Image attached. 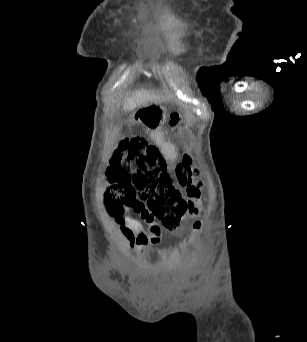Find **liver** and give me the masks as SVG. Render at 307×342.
I'll return each instance as SVG.
<instances>
[{"label":"liver","instance_id":"6515ba94","mask_svg":"<svg viewBox=\"0 0 307 342\" xmlns=\"http://www.w3.org/2000/svg\"><path fill=\"white\" fill-rule=\"evenodd\" d=\"M158 98H161V96H157V94L152 92V90H137L131 98H127V100H125L123 110L132 112V110H135L138 106H144V104L153 102V100H158Z\"/></svg>","mask_w":307,"mask_h":342}]
</instances>
